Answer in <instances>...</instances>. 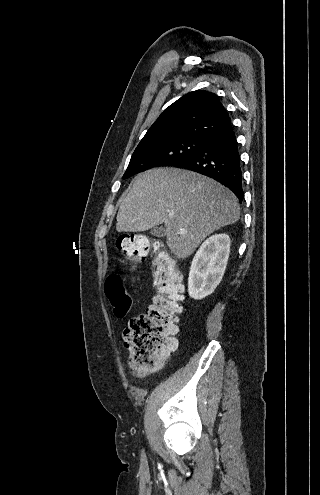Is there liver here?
<instances>
[{
	"label": "liver",
	"mask_w": 320,
	"mask_h": 495,
	"mask_svg": "<svg viewBox=\"0 0 320 495\" xmlns=\"http://www.w3.org/2000/svg\"><path fill=\"white\" fill-rule=\"evenodd\" d=\"M239 218L237 197L220 183L187 170L158 168L135 178L120 204L116 230L142 232L164 223L168 247L184 259L208 235Z\"/></svg>",
	"instance_id": "6515ba94"
}]
</instances>
